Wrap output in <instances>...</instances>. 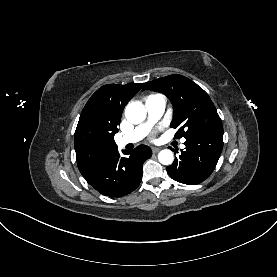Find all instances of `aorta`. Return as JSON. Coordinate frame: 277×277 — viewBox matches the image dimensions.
Instances as JSON below:
<instances>
[{
	"label": "aorta",
	"instance_id": "aorta-1",
	"mask_svg": "<svg viewBox=\"0 0 277 277\" xmlns=\"http://www.w3.org/2000/svg\"><path fill=\"white\" fill-rule=\"evenodd\" d=\"M125 117L131 123H141L146 118V110L140 102H132L127 105L125 109ZM158 160L163 165H170L173 163V152L169 149H164L159 152Z\"/></svg>",
	"mask_w": 277,
	"mask_h": 277
}]
</instances>
